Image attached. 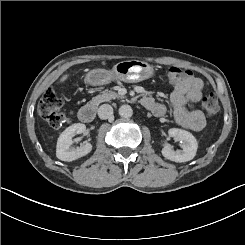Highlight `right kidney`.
I'll list each match as a JSON object with an SVG mask.
<instances>
[{
  "label": "right kidney",
  "mask_w": 245,
  "mask_h": 245,
  "mask_svg": "<svg viewBox=\"0 0 245 245\" xmlns=\"http://www.w3.org/2000/svg\"><path fill=\"white\" fill-rule=\"evenodd\" d=\"M85 130V124L75 123L61 133L56 147V156L58 159L71 162L87 155L92 150V145L90 143H86L79 148L71 147L73 143L72 138L76 134L83 133Z\"/></svg>",
  "instance_id": "1"
}]
</instances>
